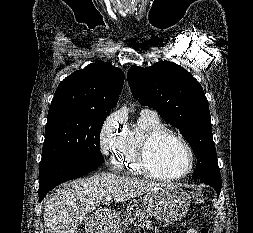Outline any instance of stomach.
Wrapping results in <instances>:
<instances>
[{
	"instance_id": "obj_1",
	"label": "stomach",
	"mask_w": 253,
	"mask_h": 233,
	"mask_svg": "<svg viewBox=\"0 0 253 233\" xmlns=\"http://www.w3.org/2000/svg\"><path fill=\"white\" fill-rule=\"evenodd\" d=\"M190 203V195L174 185L159 187L146 193L143 198L144 209L163 222H174L183 218L189 210ZM106 233L111 232L106 230Z\"/></svg>"
}]
</instances>
